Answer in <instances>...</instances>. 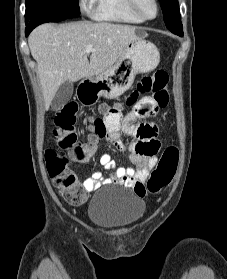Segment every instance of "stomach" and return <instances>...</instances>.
<instances>
[{
  "instance_id": "0dacf381",
  "label": "stomach",
  "mask_w": 227,
  "mask_h": 279,
  "mask_svg": "<svg viewBox=\"0 0 227 279\" xmlns=\"http://www.w3.org/2000/svg\"><path fill=\"white\" fill-rule=\"evenodd\" d=\"M145 33L131 42L115 64L96 76L83 80L78 98L83 105L92 106L100 97L115 99L127 91L138 73L154 70L160 61L158 48L145 39Z\"/></svg>"
}]
</instances>
